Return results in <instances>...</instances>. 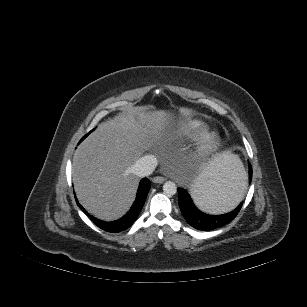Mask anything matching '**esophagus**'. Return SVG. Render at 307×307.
I'll return each mask as SVG.
<instances>
[{"label":"esophagus","instance_id":"obj_1","mask_svg":"<svg viewBox=\"0 0 307 307\" xmlns=\"http://www.w3.org/2000/svg\"><path fill=\"white\" fill-rule=\"evenodd\" d=\"M152 181H153V183L160 184V183H163L165 181V178L161 177V176H156L152 179Z\"/></svg>","mask_w":307,"mask_h":307}]
</instances>
